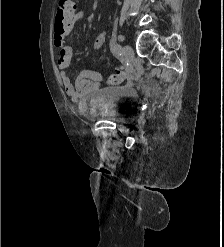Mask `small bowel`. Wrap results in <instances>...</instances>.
Here are the masks:
<instances>
[{"label":"small bowel","mask_w":224,"mask_h":247,"mask_svg":"<svg viewBox=\"0 0 224 247\" xmlns=\"http://www.w3.org/2000/svg\"><path fill=\"white\" fill-rule=\"evenodd\" d=\"M83 12H77L74 17V23L82 19ZM66 34H60L55 31L54 45L59 49V56L57 60V67L60 71L62 84L65 88L67 95L72 100H80L90 94L97 92L100 89L102 82V75L93 70L80 71L75 80L72 81L66 69L71 63L73 57V49L65 41ZM106 39V33L99 34L94 41V48L100 49ZM119 70V69H117ZM116 70V71H117Z\"/></svg>","instance_id":"c3829d8e"}]
</instances>
